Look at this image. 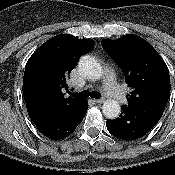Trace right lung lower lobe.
Instances as JSON below:
<instances>
[{
    "mask_svg": "<svg viewBox=\"0 0 175 175\" xmlns=\"http://www.w3.org/2000/svg\"><path fill=\"white\" fill-rule=\"evenodd\" d=\"M87 106L75 112H52L35 121L38 130L46 137L59 140L69 136L83 120Z\"/></svg>",
    "mask_w": 175,
    "mask_h": 175,
    "instance_id": "1",
    "label": "right lung lower lobe"
}]
</instances>
